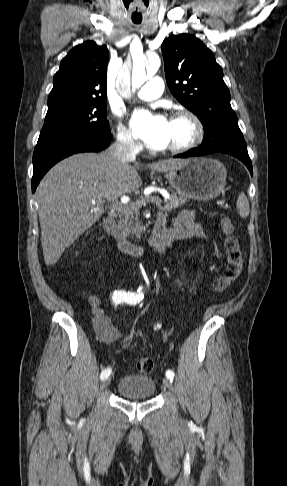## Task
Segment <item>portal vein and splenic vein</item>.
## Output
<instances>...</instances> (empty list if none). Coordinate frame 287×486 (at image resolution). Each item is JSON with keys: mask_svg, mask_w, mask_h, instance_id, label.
Instances as JSON below:
<instances>
[{"mask_svg": "<svg viewBox=\"0 0 287 486\" xmlns=\"http://www.w3.org/2000/svg\"><path fill=\"white\" fill-rule=\"evenodd\" d=\"M128 201H129V198L122 197L121 198V202L120 203L116 202V203L112 204V207L114 209L120 211L123 208V205L126 204ZM148 202L154 203L156 205H160L162 203V199L160 197H158V196H150V197L145 198L144 200H141L139 202V204L140 205H143V204L148 203ZM92 203L95 204L96 202L95 201H92Z\"/></svg>", "mask_w": 287, "mask_h": 486, "instance_id": "1", "label": "portal vein and splenic vein"}]
</instances>
